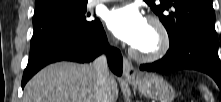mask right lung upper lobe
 Returning <instances> with one entry per match:
<instances>
[{"label": "right lung upper lobe", "mask_w": 221, "mask_h": 102, "mask_svg": "<svg viewBox=\"0 0 221 102\" xmlns=\"http://www.w3.org/2000/svg\"><path fill=\"white\" fill-rule=\"evenodd\" d=\"M44 1H46V0H36V5H38V4H40V3L44 2Z\"/></svg>", "instance_id": "1"}]
</instances>
